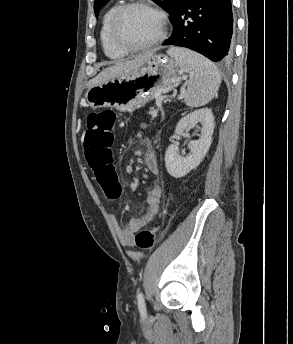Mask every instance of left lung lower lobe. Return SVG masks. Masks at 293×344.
Instances as JSON below:
<instances>
[{
  "instance_id": "1",
  "label": "left lung lower lobe",
  "mask_w": 293,
  "mask_h": 344,
  "mask_svg": "<svg viewBox=\"0 0 293 344\" xmlns=\"http://www.w3.org/2000/svg\"><path fill=\"white\" fill-rule=\"evenodd\" d=\"M171 24L172 35L162 45L186 47L214 62L232 59L231 0H180Z\"/></svg>"
}]
</instances>
